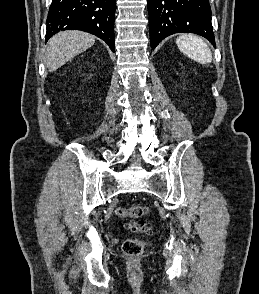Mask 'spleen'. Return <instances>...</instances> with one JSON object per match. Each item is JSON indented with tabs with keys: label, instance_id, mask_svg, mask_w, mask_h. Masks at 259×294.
<instances>
[{
	"label": "spleen",
	"instance_id": "obj_1",
	"mask_svg": "<svg viewBox=\"0 0 259 294\" xmlns=\"http://www.w3.org/2000/svg\"><path fill=\"white\" fill-rule=\"evenodd\" d=\"M180 51L200 64L212 62V54L203 39L195 35H181L176 39Z\"/></svg>",
	"mask_w": 259,
	"mask_h": 294
}]
</instances>
